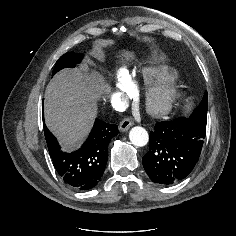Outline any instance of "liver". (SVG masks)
Wrapping results in <instances>:
<instances>
[{"mask_svg":"<svg viewBox=\"0 0 236 236\" xmlns=\"http://www.w3.org/2000/svg\"><path fill=\"white\" fill-rule=\"evenodd\" d=\"M108 90L102 76L87 67L59 72L45 91V122L64 149L84 140L97 114V99Z\"/></svg>","mask_w":236,"mask_h":236,"instance_id":"6515ba94","label":"liver"}]
</instances>
